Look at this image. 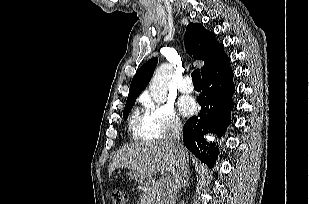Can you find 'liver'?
I'll use <instances>...</instances> for the list:
<instances>
[{"instance_id": "1", "label": "liver", "mask_w": 309, "mask_h": 204, "mask_svg": "<svg viewBox=\"0 0 309 204\" xmlns=\"http://www.w3.org/2000/svg\"><path fill=\"white\" fill-rule=\"evenodd\" d=\"M176 161L175 152L166 140L130 143L115 154L109 175L123 167L147 176L159 171L173 172Z\"/></svg>"}]
</instances>
